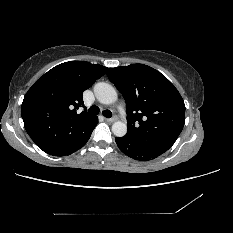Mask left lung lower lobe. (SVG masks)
Listing matches in <instances>:
<instances>
[{
  "instance_id": "left-lung-lower-lobe-1",
  "label": "left lung lower lobe",
  "mask_w": 233,
  "mask_h": 233,
  "mask_svg": "<svg viewBox=\"0 0 233 233\" xmlns=\"http://www.w3.org/2000/svg\"><path fill=\"white\" fill-rule=\"evenodd\" d=\"M116 143L119 149L126 154L127 156L140 160V161H149L152 159L157 158L160 156L162 153L144 148L133 141H131L127 137H116Z\"/></svg>"
}]
</instances>
